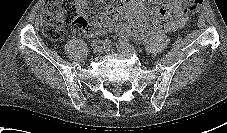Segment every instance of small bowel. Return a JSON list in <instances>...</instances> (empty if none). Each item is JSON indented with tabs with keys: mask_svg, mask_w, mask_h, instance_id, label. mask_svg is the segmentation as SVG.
I'll return each mask as SVG.
<instances>
[{
	"mask_svg": "<svg viewBox=\"0 0 227 133\" xmlns=\"http://www.w3.org/2000/svg\"><path fill=\"white\" fill-rule=\"evenodd\" d=\"M152 1L161 7L147 11L144 0H123L121 9L115 15L118 22L110 21L106 26L90 31L88 35L99 36L112 31L119 36H133L142 40L148 33L173 32L183 28L188 22V17L181 11L179 0Z\"/></svg>",
	"mask_w": 227,
	"mask_h": 133,
	"instance_id": "small-bowel-1",
	"label": "small bowel"
}]
</instances>
